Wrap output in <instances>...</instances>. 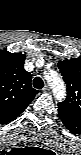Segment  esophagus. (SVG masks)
<instances>
[{
	"label": "esophagus",
	"mask_w": 81,
	"mask_h": 155,
	"mask_svg": "<svg viewBox=\"0 0 81 155\" xmlns=\"http://www.w3.org/2000/svg\"><path fill=\"white\" fill-rule=\"evenodd\" d=\"M42 91L43 92H48L49 91V87L47 85H45L43 88H42Z\"/></svg>",
	"instance_id": "obj_1"
}]
</instances>
